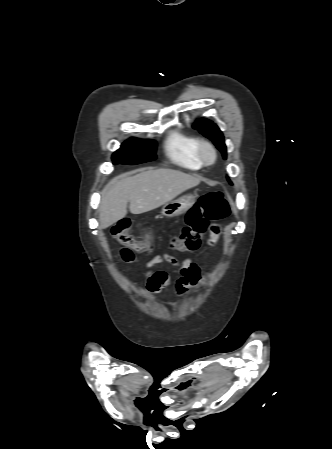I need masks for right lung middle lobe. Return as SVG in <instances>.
<instances>
[{
    "label": "right lung middle lobe",
    "instance_id": "dd1d6c3e",
    "mask_svg": "<svg viewBox=\"0 0 332 449\" xmlns=\"http://www.w3.org/2000/svg\"><path fill=\"white\" fill-rule=\"evenodd\" d=\"M156 143L153 140L130 139L112 155L113 164H140L156 158Z\"/></svg>",
    "mask_w": 332,
    "mask_h": 449
}]
</instances>
